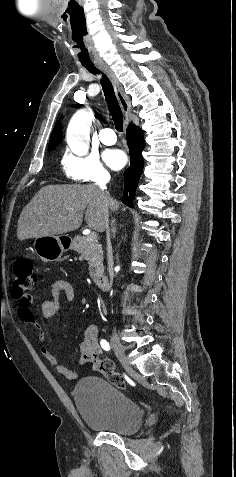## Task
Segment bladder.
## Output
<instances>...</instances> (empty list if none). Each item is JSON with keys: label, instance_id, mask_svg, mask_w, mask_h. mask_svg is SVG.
Here are the masks:
<instances>
[{"label": "bladder", "instance_id": "31cf9c89", "mask_svg": "<svg viewBox=\"0 0 236 477\" xmlns=\"http://www.w3.org/2000/svg\"><path fill=\"white\" fill-rule=\"evenodd\" d=\"M74 401L84 423L95 430L130 435L143 424L140 405L104 378L81 379Z\"/></svg>", "mask_w": 236, "mask_h": 477}]
</instances>
